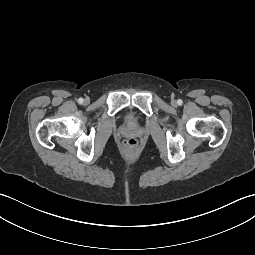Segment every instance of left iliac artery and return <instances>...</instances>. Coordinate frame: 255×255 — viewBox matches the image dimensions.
<instances>
[{"instance_id":"left-iliac-artery-1","label":"left iliac artery","mask_w":255,"mask_h":255,"mask_svg":"<svg viewBox=\"0 0 255 255\" xmlns=\"http://www.w3.org/2000/svg\"><path fill=\"white\" fill-rule=\"evenodd\" d=\"M179 105H181L182 104V100H178V102H177Z\"/></svg>"}]
</instances>
